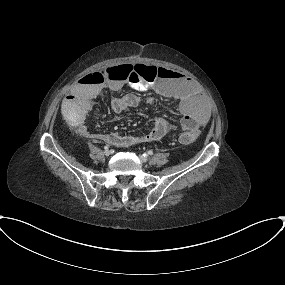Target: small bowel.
Masks as SVG:
<instances>
[{
	"label": "small bowel",
	"mask_w": 285,
	"mask_h": 285,
	"mask_svg": "<svg viewBox=\"0 0 285 285\" xmlns=\"http://www.w3.org/2000/svg\"><path fill=\"white\" fill-rule=\"evenodd\" d=\"M121 66L123 65L113 66L112 68ZM159 77L157 81H144L141 83L123 78L121 75L116 78H107V81L100 84L85 83L79 80L74 85L72 93L63 99L61 104L62 114L66 121L75 125L78 132L83 136L96 141H105L114 147H128L161 139L171 129L170 123L161 116L154 119L153 128L144 134H94L90 133L83 124L92 108L91 101L105 89L121 90L127 85H132L137 90H153L160 96L177 102L182 113L180 123L182 130L185 133L197 134L199 129L207 123L208 109L205 101L198 94L193 80L178 70L167 69H162ZM153 101V96L139 98L127 94L115 98L112 107L115 111L121 112L126 108L136 107L142 103H153Z\"/></svg>",
	"instance_id": "c3829d8e"
}]
</instances>
